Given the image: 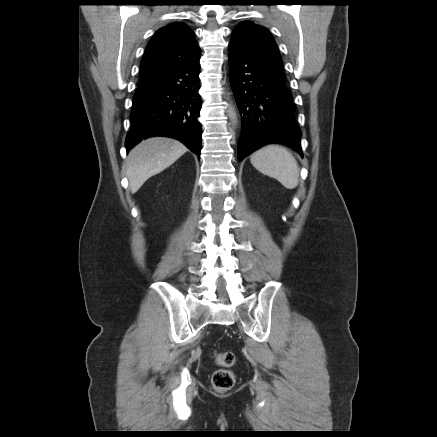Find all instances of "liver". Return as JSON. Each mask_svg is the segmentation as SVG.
<instances>
[{"mask_svg":"<svg viewBox=\"0 0 437 437\" xmlns=\"http://www.w3.org/2000/svg\"><path fill=\"white\" fill-rule=\"evenodd\" d=\"M186 151L181 142L167 137H152L137 144L126 159L131 192L136 193L150 177L171 166Z\"/></svg>","mask_w":437,"mask_h":437,"instance_id":"liver-1","label":"liver"}]
</instances>
